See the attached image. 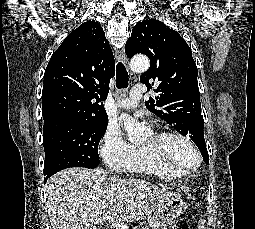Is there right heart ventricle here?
<instances>
[{"label":"right heart ventricle","mask_w":255,"mask_h":229,"mask_svg":"<svg viewBox=\"0 0 255 229\" xmlns=\"http://www.w3.org/2000/svg\"><path fill=\"white\" fill-rule=\"evenodd\" d=\"M123 170L131 173L152 175L167 180L179 179L186 176V174H174L170 172L155 158L150 156L142 146L137 145H132L130 157Z\"/></svg>","instance_id":"1"}]
</instances>
